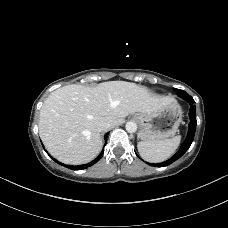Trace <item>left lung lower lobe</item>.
<instances>
[{
    "label": "left lung lower lobe",
    "mask_w": 228,
    "mask_h": 228,
    "mask_svg": "<svg viewBox=\"0 0 228 228\" xmlns=\"http://www.w3.org/2000/svg\"><path fill=\"white\" fill-rule=\"evenodd\" d=\"M181 98L185 99L191 106L190 111H189L190 123H189V129H188L187 137H186L185 141L183 142L181 148L178 150V152L175 155H173L170 159H168L162 163H158V164L148 163L151 166L164 167V166L170 165L171 163L175 162L180 157H182L185 154V152L189 149L190 145L193 142L195 130H196V125H197L196 110H195V105H194L195 101L188 94L183 95Z\"/></svg>",
    "instance_id": "0a47b994"
}]
</instances>
